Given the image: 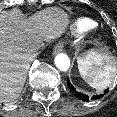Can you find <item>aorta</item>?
<instances>
[{
    "label": "aorta",
    "mask_w": 117,
    "mask_h": 117,
    "mask_svg": "<svg viewBox=\"0 0 117 117\" xmlns=\"http://www.w3.org/2000/svg\"><path fill=\"white\" fill-rule=\"evenodd\" d=\"M54 61L56 67L62 71H66L70 67V59L64 53L57 54Z\"/></svg>",
    "instance_id": "aorta-1"
}]
</instances>
